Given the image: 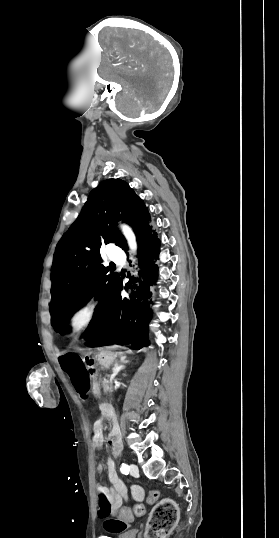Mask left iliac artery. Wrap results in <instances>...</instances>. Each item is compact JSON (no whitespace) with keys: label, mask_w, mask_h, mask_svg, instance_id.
I'll list each match as a JSON object with an SVG mask.
<instances>
[{"label":"left iliac artery","mask_w":279,"mask_h":538,"mask_svg":"<svg viewBox=\"0 0 279 538\" xmlns=\"http://www.w3.org/2000/svg\"><path fill=\"white\" fill-rule=\"evenodd\" d=\"M129 470H130V468H129V466L127 464L123 463L121 465V468H120L121 473L127 475L129 473Z\"/></svg>","instance_id":"left-iliac-artery-1"}]
</instances>
